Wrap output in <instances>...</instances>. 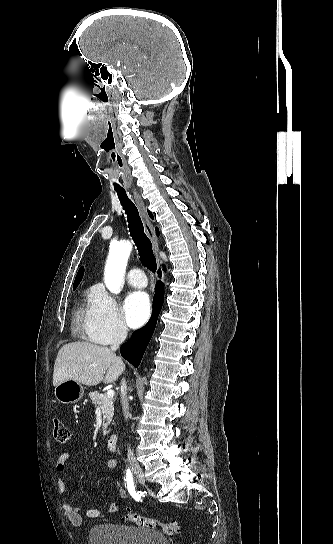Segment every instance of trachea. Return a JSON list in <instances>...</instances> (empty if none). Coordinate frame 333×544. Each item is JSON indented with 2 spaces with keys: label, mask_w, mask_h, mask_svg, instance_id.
I'll return each instance as SVG.
<instances>
[{
  "label": "trachea",
  "mask_w": 333,
  "mask_h": 544,
  "mask_svg": "<svg viewBox=\"0 0 333 544\" xmlns=\"http://www.w3.org/2000/svg\"><path fill=\"white\" fill-rule=\"evenodd\" d=\"M120 203L125 210L128 219L130 234L137 246L143 264L151 271L157 269L156 259L153 254L152 245L146 234L137 207L128 198L125 190L115 189Z\"/></svg>",
  "instance_id": "1"
}]
</instances>
